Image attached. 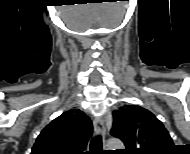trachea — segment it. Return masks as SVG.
I'll use <instances>...</instances> for the list:
<instances>
[{"label": "trachea", "mask_w": 190, "mask_h": 154, "mask_svg": "<svg viewBox=\"0 0 190 154\" xmlns=\"http://www.w3.org/2000/svg\"><path fill=\"white\" fill-rule=\"evenodd\" d=\"M90 154H101L102 151V138L100 135L94 137L90 143Z\"/></svg>", "instance_id": "trachea-1"}]
</instances>
